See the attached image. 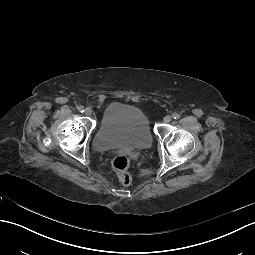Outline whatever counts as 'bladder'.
I'll list each match as a JSON object with an SVG mask.
<instances>
[{
	"mask_svg": "<svg viewBox=\"0 0 255 255\" xmlns=\"http://www.w3.org/2000/svg\"><path fill=\"white\" fill-rule=\"evenodd\" d=\"M152 143V132L144 112L137 107L112 104L104 110L95 134L99 151L123 147L141 149Z\"/></svg>",
	"mask_w": 255,
	"mask_h": 255,
	"instance_id": "1",
	"label": "bladder"
}]
</instances>
